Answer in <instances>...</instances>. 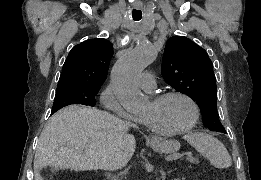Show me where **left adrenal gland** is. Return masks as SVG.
Here are the masks:
<instances>
[{
  "mask_svg": "<svg viewBox=\"0 0 261 180\" xmlns=\"http://www.w3.org/2000/svg\"><path fill=\"white\" fill-rule=\"evenodd\" d=\"M161 174V180H166L167 174H170V172H163V170H160Z\"/></svg>",
  "mask_w": 261,
  "mask_h": 180,
  "instance_id": "1",
  "label": "left adrenal gland"
}]
</instances>
